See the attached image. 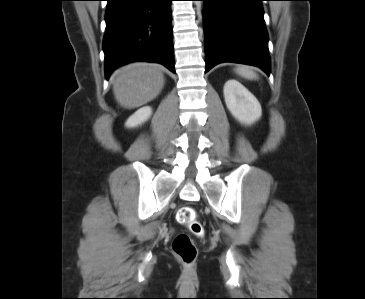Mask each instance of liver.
<instances>
[{"instance_id": "obj_1", "label": "liver", "mask_w": 365, "mask_h": 299, "mask_svg": "<svg viewBox=\"0 0 365 299\" xmlns=\"http://www.w3.org/2000/svg\"><path fill=\"white\" fill-rule=\"evenodd\" d=\"M164 87L162 67L156 64L135 63L113 74V93L120 106L140 107L155 99Z\"/></svg>"}]
</instances>
